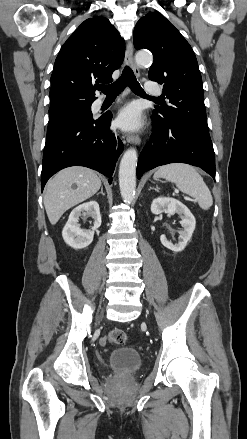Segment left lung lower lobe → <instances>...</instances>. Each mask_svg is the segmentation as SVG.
<instances>
[{"label": "left lung lower lobe", "mask_w": 247, "mask_h": 439, "mask_svg": "<svg viewBox=\"0 0 247 439\" xmlns=\"http://www.w3.org/2000/svg\"><path fill=\"white\" fill-rule=\"evenodd\" d=\"M153 132L142 150L137 178L160 165L181 162L201 167L215 179V155L209 129L188 119L170 122L152 116Z\"/></svg>", "instance_id": "left-lung-lower-lobe-1"}]
</instances>
